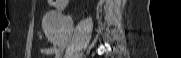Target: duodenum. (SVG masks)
<instances>
[{
    "label": "duodenum",
    "mask_w": 181,
    "mask_h": 58,
    "mask_svg": "<svg viewBox=\"0 0 181 58\" xmlns=\"http://www.w3.org/2000/svg\"><path fill=\"white\" fill-rule=\"evenodd\" d=\"M55 3H56V5L63 7L67 3V1L66 0H56Z\"/></svg>",
    "instance_id": "1"
}]
</instances>
